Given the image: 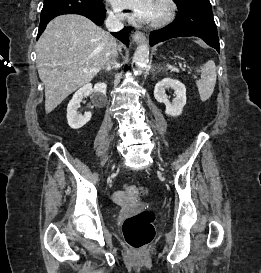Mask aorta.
I'll return each mask as SVG.
<instances>
[{
    "mask_svg": "<svg viewBox=\"0 0 261 273\" xmlns=\"http://www.w3.org/2000/svg\"><path fill=\"white\" fill-rule=\"evenodd\" d=\"M149 62V46L147 44H142L137 47L134 56L133 63L135 64V71L137 73L142 72Z\"/></svg>",
    "mask_w": 261,
    "mask_h": 273,
    "instance_id": "762f6f07",
    "label": "aorta"
}]
</instances>
